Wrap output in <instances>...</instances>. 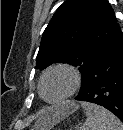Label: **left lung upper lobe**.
<instances>
[{
	"label": "left lung upper lobe",
	"instance_id": "left-lung-upper-lobe-1",
	"mask_svg": "<svg viewBox=\"0 0 123 130\" xmlns=\"http://www.w3.org/2000/svg\"><path fill=\"white\" fill-rule=\"evenodd\" d=\"M120 32L107 0H66L43 33L36 69L57 62L79 66L83 86L95 59Z\"/></svg>",
	"mask_w": 123,
	"mask_h": 130
}]
</instances>
